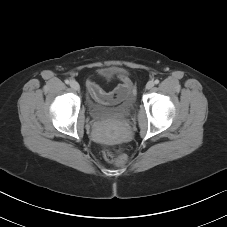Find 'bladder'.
<instances>
[{
  "label": "bladder",
  "instance_id": "1",
  "mask_svg": "<svg viewBox=\"0 0 227 227\" xmlns=\"http://www.w3.org/2000/svg\"><path fill=\"white\" fill-rule=\"evenodd\" d=\"M87 106L89 114L94 120L107 121L129 115L134 109L135 97L132 92H129L117 103L89 101Z\"/></svg>",
  "mask_w": 227,
  "mask_h": 227
}]
</instances>
